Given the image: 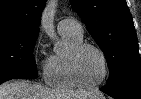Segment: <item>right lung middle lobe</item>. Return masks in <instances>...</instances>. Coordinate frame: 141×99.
Here are the masks:
<instances>
[{
  "mask_svg": "<svg viewBox=\"0 0 141 99\" xmlns=\"http://www.w3.org/2000/svg\"><path fill=\"white\" fill-rule=\"evenodd\" d=\"M38 33L0 31V78L11 75H37L32 55Z\"/></svg>",
  "mask_w": 141,
  "mask_h": 99,
  "instance_id": "1",
  "label": "right lung middle lobe"
}]
</instances>
